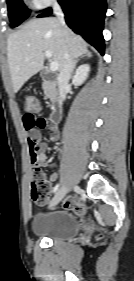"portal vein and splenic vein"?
Instances as JSON below:
<instances>
[{
	"instance_id": "portal-vein-and-splenic-vein-1",
	"label": "portal vein and splenic vein",
	"mask_w": 134,
	"mask_h": 281,
	"mask_svg": "<svg viewBox=\"0 0 134 281\" xmlns=\"http://www.w3.org/2000/svg\"><path fill=\"white\" fill-rule=\"evenodd\" d=\"M45 55L47 58H51L52 57V53L51 51H45ZM58 69V63L55 61H51L50 63V70L51 71H56Z\"/></svg>"
}]
</instances>
